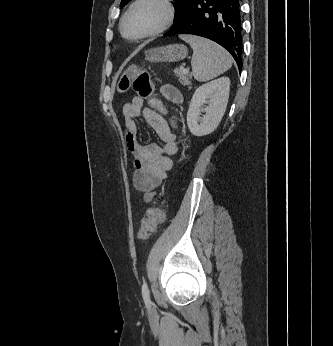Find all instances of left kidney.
<instances>
[{
    "label": "left kidney",
    "mask_w": 333,
    "mask_h": 346,
    "mask_svg": "<svg viewBox=\"0 0 333 346\" xmlns=\"http://www.w3.org/2000/svg\"><path fill=\"white\" fill-rule=\"evenodd\" d=\"M229 90L228 77H220L195 90L187 113V125L193 135L205 136L217 128L227 107ZM205 103L208 106L203 108ZM201 111L206 113L203 117Z\"/></svg>",
    "instance_id": "obj_1"
}]
</instances>
